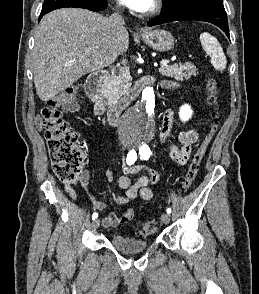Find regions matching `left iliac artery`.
<instances>
[{
    "label": "left iliac artery",
    "mask_w": 259,
    "mask_h": 294,
    "mask_svg": "<svg viewBox=\"0 0 259 294\" xmlns=\"http://www.w3.org/2000/svg\"><path fill=\"white\" fill-rule=\"evenodd\" d=\"M139 154H140L141 159L148 160L150 158V155H151V151H150V148L148 147V145H142L139 148ZM166 212L168 214H170L171 213V208L168 207L166 209Z\"/></svg>",
    "instance_id": "1"
}]
</instances>
